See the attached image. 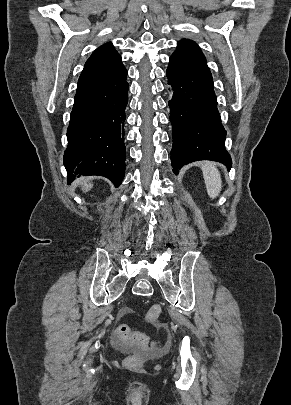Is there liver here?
Instances as JSON below:
<instances>
[{
    "label": "liver",
    "instance_id": "6515ba94",
    "mask_svg": "<svg viewBox=\"0 0 291 405\" xmlns=\"http://www.w3.org/2000/svg\"><path fill=\"white\" fill-rule=\"evenodd\" d=\"M82 186H83V188H84L85 191L90 190V188L92 187L91 184H87L86 182L82 183Z\"/></svg>",
    "mask_w": 291,
    "mask_h": 405
}]
</instances>
